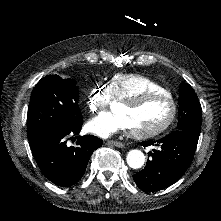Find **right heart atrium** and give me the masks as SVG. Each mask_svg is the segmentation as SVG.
<instances>
[{
    "instance_id": "right-heart-atrium-1",
    "label": "right heart atrium",
    "mask_w": 221,
    "mask_h": 221,
    "mask_svg": "<svg viewBox=\"0 0 221 221\" xmlns=\"http://www.w3.org/2000/svg\"><path fill=\"white\" fill-rule=\"evenodd\" d=\"M93 95L94 96L89 98L88 105H89L90 108L95 109L99 105V100L98 99L103 97L104 92H103L102 89L97 88V89L94 90Z\"/></svg>"
}]
</instances>
